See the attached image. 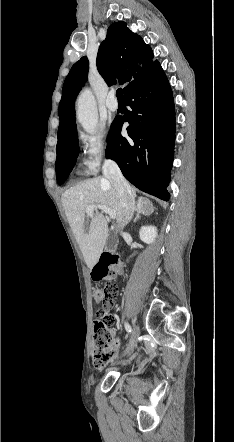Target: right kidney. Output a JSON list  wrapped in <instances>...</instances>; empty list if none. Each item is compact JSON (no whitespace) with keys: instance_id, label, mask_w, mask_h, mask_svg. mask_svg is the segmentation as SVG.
<instances>
[{"instance_id":"obj_1","label":"right kidney","mask_w":234,"mask_h":442,"mask_svg":"<svg viewBox=\"0 0 234 442\" xmlns=\"http://www.w3.org/2000/svg\"><path fill=\"white\" fill-rule=\"evenodd\" d=\"M139 236L144 243L152 244L157 236V228L154 226H142Z\"/></svg>"}]
</instances>
